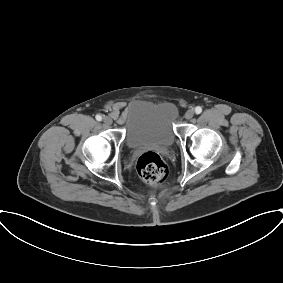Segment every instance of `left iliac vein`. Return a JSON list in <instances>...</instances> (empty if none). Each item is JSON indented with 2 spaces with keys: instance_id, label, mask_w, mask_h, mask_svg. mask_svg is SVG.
I'll use <instances>...</instances> for the list:
<instances>
[{
  "instance_id": "1",
  "label": "left iliac vein",
  "mask_w": 283,
  "mask_h": 283,
  "mask_svg": "<svg viewBox=\"0 0 283 283\" xmlns=\"http://www.w3.org/2000/svg\"><path fill=\"white\" fill-rule=\"evenodd\" d=\"M193 116H194V111L192 109H189V110L186 111V113H185L186 119L189 120V119L193 118Z\"/></svg>"
}]
</instances>
